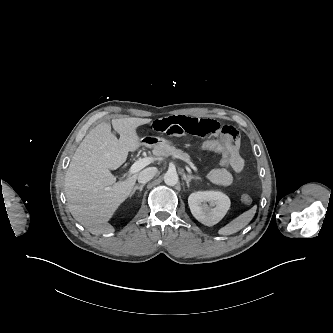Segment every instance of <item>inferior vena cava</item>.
Masks as SVG:
<instances>
[{
    "label": "inferior vena cava",
    "instance_id": "inferior-vena-cava-1",
    "mask_svg": "<svg viewBox=\"0 0 333 333\" xmlns=\"http://www.w3.org/2000/svg\"><path fill=\"white\" fill-rule=\"evenodd\" d=\"M156 173H157L156 168L154 167L146 168L138 174V182L145 184L148 181H150L156 175Z\"/></svg>",
    "mask_w": 333,
    "mask_h": 333
}]
</instances>
